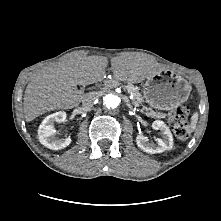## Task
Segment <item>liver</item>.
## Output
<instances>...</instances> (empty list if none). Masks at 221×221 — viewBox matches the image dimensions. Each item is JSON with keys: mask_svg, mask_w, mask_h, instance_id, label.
<instances>
[{"mask_svg": "<svg viewBox=\"0 0 221 221\" xmlns=\"http://www.w3.org/2000/svg\"><path fill=\"white\" fill-rule=\"evenodd\" d=\"M110 62L114 76L129 83H139L157 70L152 59L134 53L112 57ZM107 66V57L87 56L81 51L68 53L60 61L37 69L25 89L26 122L52 110L78 106L88 94L78 90L77 85L87 86L103 80Z\"/></svg>", "mask_w": 221, "mask_h": 221, "instance_id": "6515ba94", "label": "liver"}]
</instances>
